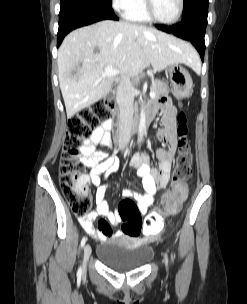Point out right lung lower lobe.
Instances as JSON below:
<instances>
[{"label":"right lung lower lobe","mask_w":247,"mask_h":304,"mask_svg":"<svg viewBox=\"0 0 247 304\" xmlns=\"http://www.w3.org/2000/svg\"><path fill=\"white\" fill-rule=\"evenodd\" d=\"M106 19L118 20L109 5L86 0H61L57 47L73 29Z\"/></svg>","instance_id":"98d812e1"}]
</instances>
